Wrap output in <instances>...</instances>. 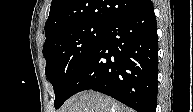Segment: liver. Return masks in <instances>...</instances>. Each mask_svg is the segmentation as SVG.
Segmentation results:
<instances>
[{
	"label": "liver",
	"mask_w": 193,
	"mask_h": 112,
	"mask_svg": "<svg viewBox=\"0 0 193 112\" xmlns=\"http://www.w3.org/2000/svg\"><path fill=\"white\" fill-rule=\"evenodd\" d=\"M61 112H133V110L106 95L89 90L68 99Z\"/></svg>",
	"instance_id": "liver-1"
}]
</instances>
